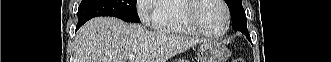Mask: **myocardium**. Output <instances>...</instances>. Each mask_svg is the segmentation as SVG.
<instances>
[{
	"mask_svg": "<svg viewBox=\"0 0 331 62\" xmlns=\"http://www.w3.org/2000/svg\"><path fill=\"white\" fill-rule=\"evenodd\" d=\"M202 1H204V0H186L184 2V18H185L186 23L197 34H199L201 36L208 37V38H214V39L224 36L228 32L229 26H230V13H229L227 5L222 0H214L217 3H219V5L223 9L224 18H225V26L221 32L211 33V32L206 31L200 25L198 19L196 18V15H195L196 9Z\"/></svg>",
	"mask_w": 331,
	"mask_h": 62,
	"instance_id": "obj_1",
	"label": "myocardium"
}]
</instances>
